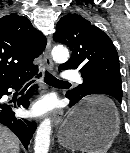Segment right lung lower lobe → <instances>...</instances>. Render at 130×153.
<instances>
[{"instance_id": "1", "label": "right lung lower lobe", "mask_w": 130, "mask_h": 153, "mask_svg": "<svg viewBox=\"0 0 130 153\" xmlns=\"http://www.w3.org/2000/svg\"><path fill=\"white\" fill-rule=\"evenodd\" d=\"M36 73L26 78H30L34 76ZM23 79L24 78L11 82L0 83V99L3 95L10 94V92H8L9 88H20L22 83L24 82ZM32 95L33 90H30L25 96L19 98L17 104L15 105H10L9 103L0 100V123L11 129L17 135V137L20 139V141L26 149L37 125L35 122H31L23 118L16 117L15 112L12 111V108L16 107V105L18 107L22 105L24 108H27L29 106V98Z\"/></svg>"}]
</instances>
